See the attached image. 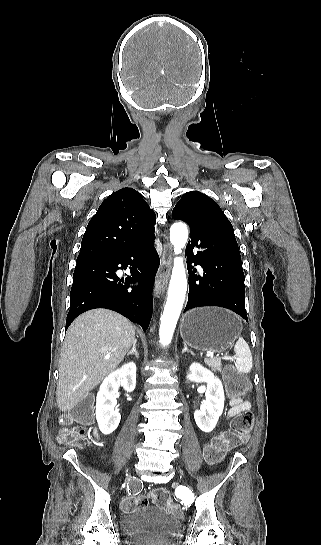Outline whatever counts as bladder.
I'll use <instances>...</instances> for the list:
<instances>
[{
	"instance_id": "bladder-1",
	"label": "bladder",
	"mask_w": 321,
	"mask_h": 545,
	"mask_svg": "<svg viewBox=\"0 0 321 545\" xmlns=\"http://www.w3.org/2000/svg\"><path fill=\"white\" fill-rule=\"evenodd\" d=\"M121 528L132 545H166L179 535L181 524L159 507L145 506L123 515Z\"/></svg>"
}]
</instances>
